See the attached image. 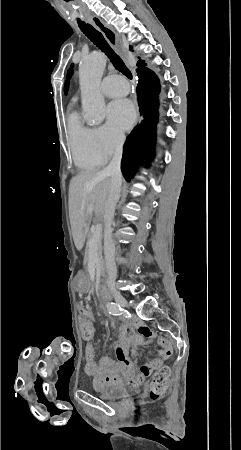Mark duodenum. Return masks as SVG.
<instances>
[{
    "label": "duodenum",
    "mask_w": 241,
    "mask_h": 450,
    "mask_svg": "<svg viewBox=\"0 0 241 450\" xmlns=\"http://www.w3.org/2000/svg\"><path fill=\"white\" fill-rule=\"evenodd\" d=\"M96 290L101 296L107 297L108 289L104 284H102V283L97 284Z\"/></svg>",
    "instance_id": "1"
}]
</instances>
